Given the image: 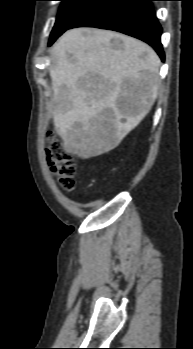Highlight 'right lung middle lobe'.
<instances>
[{"label":"right lung middle lobe","instance_id":"right-lung-middle-lobe-1","mask_svg":"<svg viewBox=\"0 0 193 349\" xmlns=\"http://www.w3.org/2000/svg\"><path fill=\"white\" fill-rule=\"evenodd\" d=\"M62 4L50 35L49 45L101 0H60Z\"/></svg>","mask_w":193,"mask_h":349}]
</instances>
